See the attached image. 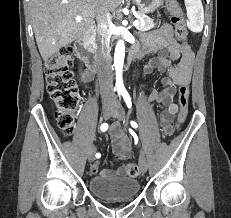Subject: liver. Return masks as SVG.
Masks as SVG:
<instances>
[{
    "label": "liver",
    "mask_w": 231,
    "mask_h": 218,
    "mask_svg": "<svg viewBox=\"0 0 231 218\" xmlns=\"http://www.w3.org/2000/svg\"><path fill=\"white\" fill-rule=\"evenodd\" d=\"M120 3L121 0H30L32 26L43 60L86 36L101 12H112Z\"/></svg>",
    "instance_id": "6515ba94"
}]
</instances>
